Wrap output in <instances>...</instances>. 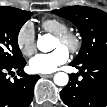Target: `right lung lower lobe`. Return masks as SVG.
Listing matches in <instances>:
<instances>
[{
    "label": "right lung lower lobe",
    "instance_id": "1",
    "mask_svg": "<svg viewBox=\"0 0 107 107\" xmlns=\"http://www.w3.org/2000/svg\"><path fill=\"white\" fill-rule=\"evenodd\" d=\"M26 61L22 60L12 65L0 63V107H28L33 99V88L38 75H27L20 73V79L15 78L14 82L8 79L7 73L14 70L21 71Z\"/></svg>",
    "mask_w": 107,
    "mask_h": 107
}]
</instances>
